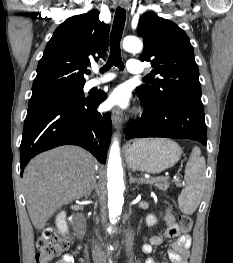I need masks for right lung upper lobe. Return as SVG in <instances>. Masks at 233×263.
Here are the masks:
<instances>
[{
	"label": "right lung upper lobe",
	"instance_id": "cb5924a9",
	"mask_svg": "<svg viewBox=\"0 0 233 263\" xmlns=\"http://www.w3.org/2000/svg\"><path fill=\"white\" fill-rule=\"evenodd\" d=\"M108 33L109 26L99 20L97 10L59 25L38 63L32 96L84 86V71L106 53Z\"/></svg>",
	"mask_w": 233,
	"mask_h": 263
}]
</instances>
